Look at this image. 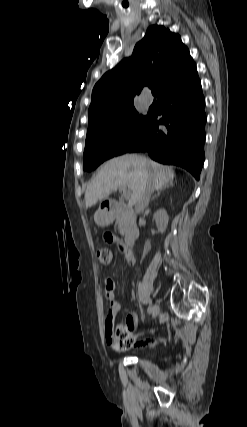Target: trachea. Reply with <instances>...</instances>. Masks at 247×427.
Wrapping results in <instances>:
<instances>
[{"mask_svg":"<svg viewBox=\"0 0 247 427\" xmlns=\"http://www.w3.org/2000/svg\"><path fill=\"white\" fill-rule=\"evenodd\" d=\"M152 94L155 96L156 95V90L152 89Z\"/></svg>","mask_w":247,"mask_h":427,"instance_id":"3493384b","label":"trachea"}]
</instances>
